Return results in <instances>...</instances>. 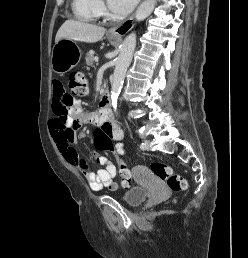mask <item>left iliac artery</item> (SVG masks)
Segmentation results:
<instances>
[{
    "instance_id": "left-iliac-artery-1",
    "label": "left iliac artery",
    "mask_w": 248,
    "mask_h": 258,
    "mask_svg": "<svg viewBox=\"0 0 248 258\" xmlns=\"http://www.w3.org/2000/svg\"><path fill=\"white\" fill-rule=\"evenodd\" d=\"M140 148H141V149H144V148H145V144H144V143H141Z\"/></svg>"
}]
</instances>
